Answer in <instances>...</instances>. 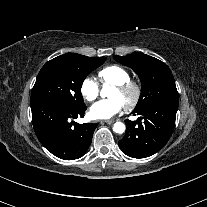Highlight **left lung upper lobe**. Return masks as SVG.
<instances>
[{"label": "left lung upper lobe", "mask_w": 207, "mask_h": 207, "mask_svg": "<svg viewBox=\"0 0 207 207\" xmlns=\"http://www.w3.org/2000/svg\"><path fill=\"white\" fill-rule=\"evenodd\" d=\"M114 59L132 68L141 80L142 91L133 112H142L158 103H178L174 77L165 63L140 52L115 55Z\"/></svg>", "instance_id": "obj_1"}]
</instances>
